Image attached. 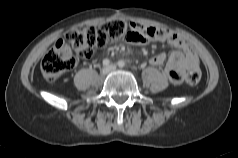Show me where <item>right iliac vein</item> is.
I'll return each instance as SVG.
<instances>
[{"label":"right iliac vein","mask_w":238,"mask_h":158,"mask_svg":"<svg viewBox=\"0 0 238 158\" xmlns=\"http://www.w3.org/2000/svg\"><path fill=\"white\" fill-rule=\"evenodd\" d=\"M109 70L107 67H104L102 70H101V75L102 76H105L106 74H108Z\"/></svg>","instance_id":"right-iliac-vein-1"}]
</instances>
